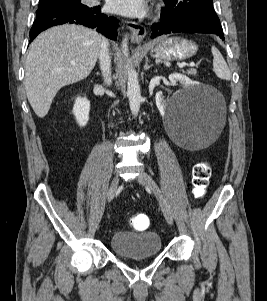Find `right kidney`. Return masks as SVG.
<instances>
[{
	"label": "right kidney",
	"mask_w": 267,
	"mask_h": 301,
	"mask_svg": "<svg viewBox=\"0 0 267 301\" xmlns=\"http://www.w3.org/2000/svg\"><path fill=\"white\" fill-rule=\"evenodd\" d=\"M90 102L85 97L75 99L73 114L80 127L86 126L89 120Z\"/></svg>",
	"instance_id": "1"
}]
</instances>
